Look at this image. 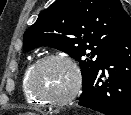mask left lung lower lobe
Segmentation results:
<instances>
[{
	"instance_id": "obj_1",
	"label": "left lung lower lobe",
	"mask_w": 131,
	"mask_h": 115,
	"mask_svg": "<svg viewBox=\"0 0 131 115\" xmlns=\"http://www.w3.org/2000/svg\"><path fill=\"white\" fill-rule=\"evenodd\" d=\"M78 104L104 115H131V29L111 47Z\"/></svg>"
}]
</instances>
